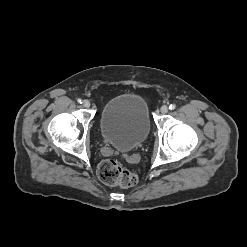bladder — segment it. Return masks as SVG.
Listing matches in <instances>:
<instances>
[{
    "label": "bladder",
    "instance_id": "obj_1",
    "mask_svg": "<svg viewBox=\"0 0 247 247\" xmlns=\"http://www.w3.org/2000/svg\"><path fill=\"white\" fill-rule=\"evenodd\" d=\"M146 101L136 94H122L110 99L100 115L104 140L119 151L128 152L141 145L150 132Z\"/></svg>",
    "mask_w": 247,
    "mask_h": 247
}]
</instances>
